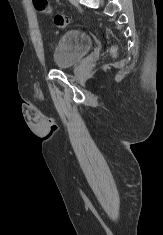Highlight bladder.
<instances>
[{
	"label": "bladder",
	"mask_w": 163,
	"mask_h": 235,
	"mask_svg": "<svg viewBox=\"0 0 163 235\" xmlns=\"http://www.w3.org/2000/svg\"><path fill=\"white\" fill-rule=\"evenodd\" d=\"M93 40L90 35L77 29L66 31L58 40L53 51V62L58 69H68L79 64L91 51Z\"/></svg>",
	"instance_id": "31cf9c89"
}]
</instances>
